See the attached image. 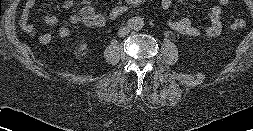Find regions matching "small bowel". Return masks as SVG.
I'll use <instances>...</instances> for the list:
<instances>
[{
    "instance_id": "obj_1",
    "label": "small bowel",
    "mask_w": 253,
    "mask_h": 131,
    "mask_svg": "<svg viewBox=\"0 0 253 131\" xmlns=\"http://www.w3.org/2000/svg\"><path fill=\"white\" fill-rule=\"evenodd\" d=\"M38 0H26L24 8L20 17L21 29L32 38H37L40 43H43V39L51 40L50 33L38 34L34 25L30 21V13L35 7ZM231 0H218V3L214 5L209 11L207 18L209 21L208 27L204 31V35L208 38H215L220 35L222 31V12L223 8L230 3ZM161 6L164 9H168L172 6L173 0H160ZM75 5L74 0H64L61 4L65 10L71 9ZM107 16L103 13L97 12L92 6L85 5L80 8L77 14L70 17L69 22L71 25H83L87 28H101L107 23ZM58 18L55 15H46L44 17V23L50 27H54L58 24ZM167 26L173 31L189 37H197L202 34V31L194 26L189 18L181 19H169L166 22ZM58 34L61 38H68L71 31L68 27H60Z\"/></svg>"
}]
</instances>
